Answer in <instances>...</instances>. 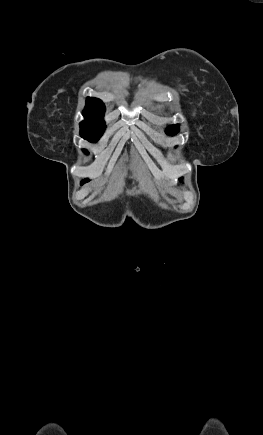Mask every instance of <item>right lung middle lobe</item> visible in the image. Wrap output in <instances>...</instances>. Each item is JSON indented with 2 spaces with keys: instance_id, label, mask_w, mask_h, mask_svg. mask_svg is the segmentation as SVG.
<instances>
[{
  "instance_id": "obj_1",
  "label": "right lung middle lobe",
  "mask_w": 263,
  "mask_h": 435,
  "mask_svg": "<svg viewBox=\"0 0 263 435\" xmlns=\"http://www.w3.org/2000/svg\"><path fill=\"white\" fill-rule=\"evenodd\" d=\"M80 128H81L80 131L81 137L92 143L98 141V139L103 135L105 129L102 127H95V126H80ZM84 152L88 153L86 150H84ZM88 181H89L88 179H85L82 181V184Z\"/></svg>"
}]
</instances>
